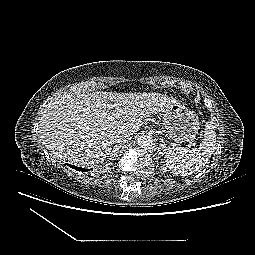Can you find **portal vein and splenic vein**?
<instances>
[{"instance_id":"portal-vein-and-splenic-vein-1","label":"portal vein and splenic vein","mask_w":255,"mask_h":255,"mask_svg":"<svg viewBox=\"0 0 255 255\" xmlns=\"http://www.w3.org/2000/svg\"><path fill=\"white\" fill-rule=\"evenodd\" d=\"M109 119H110V120H113V117L110 116ZM191 146H195V143H192V142H191V143L188 144V147H191Z\"/></svg>"}]
</instances>
